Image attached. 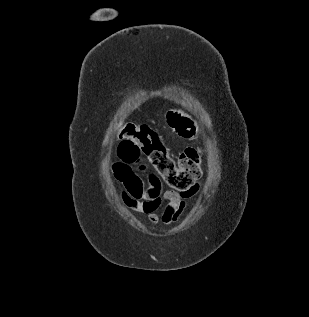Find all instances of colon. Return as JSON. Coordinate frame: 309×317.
Wrapping results in <instances>:
<instances>
[{
    "label": "colon",
    "instance_id": "5ec220e1",
    "mask_svg": "<svg viewBox=\"0 0 309 317\" xmlns=\"http://www.w3.org/2000/svg\"><path fill=\"white\" fill-rule=\"evenodd\" d=\"M169 125L181 136L194 133L193 123L189 117L179 111L168 113ZM121 143L119 150L128 152L123 157L131 162H138L144 155L150 159L165 183L180 193L190 191L202 175L199 148L184 149L177 160L173 159L158 133L146 124L126 123L120 127Z\"/></svg>",
    "mask_w": 309,
    "mask_h": 317
}]
</instances>
